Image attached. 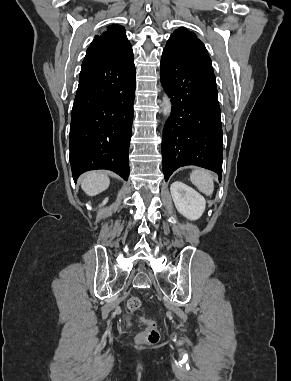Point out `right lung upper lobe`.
Here are the masks:
<instances>
[{"instance_id":"right-lung-upper-lobe-1","label":"right lung upper lobe","mask_w":291,"mask_h":381,"mask_svg":"<svg viewBox=\"0 0 291 381\" xmlns=\"http://www.w3.org/2000/svg\"><path fill=\"white\" fill-rule=\"evenodd\" d=\"M132 51L123 26L112 24L87 49L85 59L120 57Z\"/></svg>"}]
</instances>
